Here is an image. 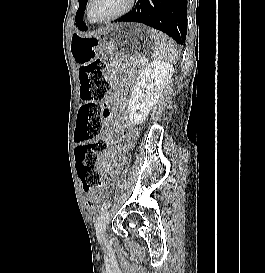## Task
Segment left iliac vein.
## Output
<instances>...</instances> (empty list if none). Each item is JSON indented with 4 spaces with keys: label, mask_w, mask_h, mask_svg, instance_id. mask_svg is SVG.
Returning a JSON list of instances; mask_svg holds the SVG:
<instances>
[{
    "label": "left iliac vein",
    "mask_w": 265,
    "mask_h": 273,
    "mask_svg": "<svg viewBox=\"0 0 265 273\" xmlns=\"http://www.w3.org/2000/svg\"><path fill=\"white\" fill-rule=\"evenodd\" d=\"M110 218V211H105L96 226V233H97V238L100 244L105 245L107 244L106 240V226Z\"/></svg>",
    "instance_id": "1"
}]
</instances>
